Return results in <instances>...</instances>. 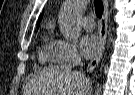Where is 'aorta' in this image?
<instances>
[{
	"label": "aorta",
	"mask_w": 135,
	"mask_h": 95,
	"mask_svg": "<svg viewBox=\"0 0 135 95\" xmlns=\"http://www.w3.org/2000/svg\"><path fill=\"white\" fill-rule=\"evenodd\" d=\"M87 0H65L59 14V27L67 40H76L80 36L79 17L83 12ZM95 95H101V84L97 86Z\"/></svg>",
	"instance_id": "762f6f07"
}]
</instances>
